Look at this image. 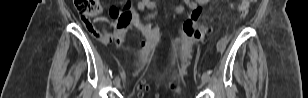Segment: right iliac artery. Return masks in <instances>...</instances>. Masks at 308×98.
I'll return each instance as SVG.
<instances>
[{"instance_id":"obj_1","label":"right iliac artery","mask_w":308,"mask_h":98,"mask_svg":"<svg viewBox=\"0 0 308 98\" xmlns=\"http://www.w3.org/2000/svg\"><path fill=\"white\" fill-rule=\"evenodd\" d=\"M150 17H153V15H149V18H150ZM117 80H119V77H116V78H115V81H117Z\"/></svg>"}]
</instances>
